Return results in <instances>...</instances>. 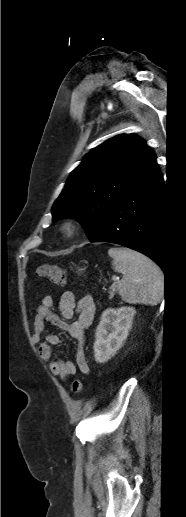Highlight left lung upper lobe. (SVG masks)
Instances as JSON below:
<instances>
[{
    "instance_id": "left-lung-upper-lobe-1",
    "label": "left lung upper lobe",
    "mask_w": 186,
    "mask_h": 517,
    "mask_svg": "<svg viewBox=\"0 0 186 517\" xmlns=\"http://www.w3.org/2000/svg\"><path fill=\"white\" fill-rule=\"evenodd\" d=\"M155 160L154 152L138 136L107 140L71 172L52 207V220L75 217L91 241L115 203Z\"/></svg>"
}]
</instances>
